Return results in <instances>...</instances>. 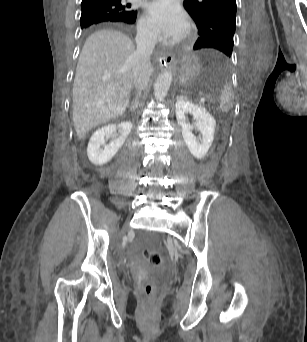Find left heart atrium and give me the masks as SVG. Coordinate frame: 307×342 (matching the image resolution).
I'll return each mask as SVG.
<instances>
[{"mask_svg": "<svg viewBox=\"0 0 307 342\" xmlns=\"http://www.w3.org/2000/svg\"><path fill=\"white\" fill-rule=\"evenodd\" d=\"M145 18L152 31L153 41L174 43L188 36L189 24L179 7L171 1L151 3Z\"/></svg>", "mask_w": 307, "mask_h": 342, "instance_id": "39dd6f15", "label": "left heart atrium"}]
</instances>
